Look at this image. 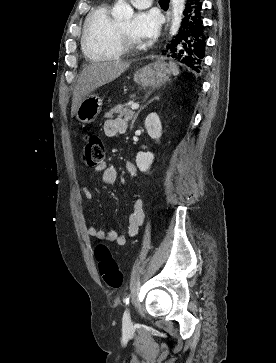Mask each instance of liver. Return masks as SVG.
I'll use <instances>...</instances> for the list:
<instances>
[{
  "mask_svg": "<svg viewBox=\"0 0 276 363\" xmlns=\"http://www.w3.org/2000/svg\"><path fill=\"white\" fill-rule=\"evenodd\" d=\"M129 66L130 62L122 61L98 62L85 66L74 89L71 115L76 113L79 104L86 96L95 89L114 81Z\"/></svg>",
  "mask_w": 276,
  "mask_h": 363,
  "instance_id": "6515ba94",
  "label": "liver"
}]
</instances>
